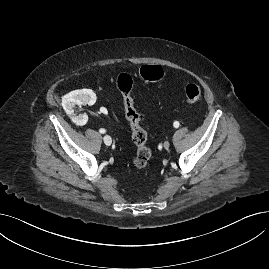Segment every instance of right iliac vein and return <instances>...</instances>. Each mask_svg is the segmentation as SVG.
I'll return each mask as SVG.
<instances>
[{
	"label": "right iliac vein",
	"mask_w": 269,
	"mask_h": 269,
	"mask_svg": "<svg viewBox=\"0 0 269 269\" xmlns=\"http://www.w3.org/2000/svg\"><path fill=\"white\" fill-rule=\"evenodd\" d=\"M103 141H104V143H105L107 146H110L111 143H112V139H111V137L108 136V135H105V136L103 137Z\"/></svg>",
	"instance_id": "63e3f726"
}]
</instances>
